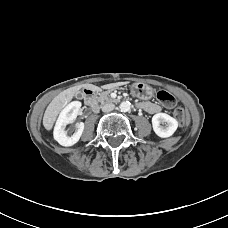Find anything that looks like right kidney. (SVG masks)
Masks as SVG:
<instances>
[{"label":"right kidney","instance_id":"right-kidney-1","mask_svg":"<svg viewBox=\"0 0 228 228\" xmlns=\"http://www.w3.org/2000/svg\"><path fill=\"white\" fill-rule=\"evenodd\" d=\"M81 108V102L73 101L68 104L60 113L59 118L54 128V139L62 146L68 147L76 144L84 130V123L79 122L76 124V131L73 135L68 136L65 130L68 124L76 120L78 112Z\"/></svg>","mask_w":228,"mask_h":228}]
</instances>
